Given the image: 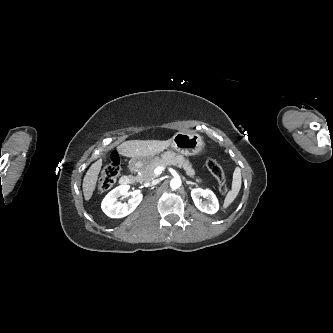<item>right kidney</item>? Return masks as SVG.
Here are the masks:
<instances>
[{"label": "right kidney", "mask_w": 333, "mask_h": 333, "mask_svg": "<svg viewBox=\"0 0 333 333\" xmlns=\"http://www.w3.org/2000/svg\"><path fill=\"white\" fill-rule=\"evenodd\" d=\"M129 189V185H120L106 195L102 201L101 208L107 216L111 218L125 217L132 213L141 203L143 198L141 193L128 200V203L117 202L119 197L127 195Z\"/></svg>", "instance_id": "right-kidney-1"}]
</instances>
